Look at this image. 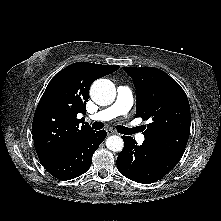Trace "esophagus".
<instances>
[{"mask_svg":"<svg viewBox=\"0 0 221 221\" xmlns=\"http://www.w3.org/2000/svg\"><path fill=\"white\" fill-rule=\"evenodd\" d=\"M107 134L108 135H113V134H116V132L114 130H112V129H108L107 130Z\"/></svg>","mask_w":221,"mask_h":221,"instance_id":"obj_1","label":"esophagus"}]
</instances>
